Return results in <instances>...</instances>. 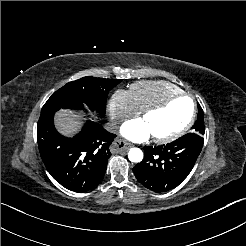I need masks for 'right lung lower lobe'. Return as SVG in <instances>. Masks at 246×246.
I'll use <instances>...</instances> for the list:
<instances>
[{
    "label": "right lung lower lobe",
    "instance_id": "98d812e1",
    "mask_svg": "<svg viewBox=\"0 0 246 246\" xmlns=\"http://www.w3.org/2000/svg\"><path fill=\"white\" fill-rule=\"evenodd\" d=\"M54 113L41 114L37 124L39 151L55 180L75 192H85L102 180L115 134L100 124L87 121L73 138L59 134L53 124Z\"/></svg>",
    "mask_w": 246,
    "mask_h": 246
}]
</instances>
